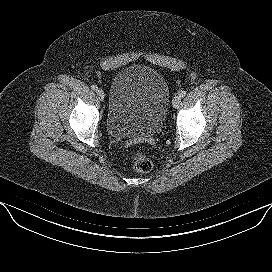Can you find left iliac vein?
<instances>
[{"label":"left iliac vein","instance_id":"obj_1","mask_svg":"<svg viewBox=\"0 0 272 272\" xmlns=\"http://www.w3.org/2000/svg\"><path fill=\"white\" fill-rule=\"evenodd\" d=\"M181 100H182V98H181L180 95L175 96V97L173 98V100H172L173 106H174L175 108H177V107L180 105Z\"/></svg>","mask_w":272,"mask_h":272}]
</instances>
